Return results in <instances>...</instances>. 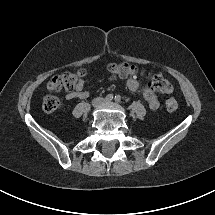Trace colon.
<instances>
[{
    "label": "colon",
    "instance_id": "colon-1",
    "mask_svg": "<svg viewBox=\"0 0 215 215\" xmlns=\"http://www.w3.org/2000/svg\"><path fill=\"white\" fill-rule=\"evenodd\" d=\"M110 73L121 77L131 78L138 75H144L136 66L130 63H113L108 66ZM84 76L83 70H78L74 73L66 72L51 78L46 88L49 92H59L63 89L74 90L79 80ZM148 85L161 93H169L172 91L171 83L159 74L146 75ZM61 105V101L54 95H47L43 98L42 108L46 112H53ZM165 107L169 111H175L178 108V102L175 98L169 97L165 100Z\"/></svg>",
    "mask_w": 215,
    "mask_h": 215
}]
</instances>
